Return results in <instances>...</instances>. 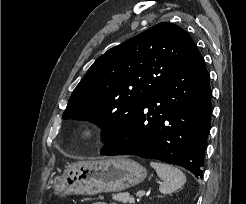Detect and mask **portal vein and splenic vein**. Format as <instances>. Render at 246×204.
I'll list each match as a JSON object with an SVG mask.
<instances>
[{"mask_svg":"<svg viewBox=\"0 0 246 204\" xmlns=\"http://www.w3.org/2000/svg\"><path fill=\"white\" fill-rule=\"evenodd\" d=\"M143 195H145V191H139V192H137V194H136V196H138V197H141V196H143Z\"/></svg>","mask_w":246,"mask_h":204,"instance_id":"portal-vein-and-splenic-vein-1","label":"portal vein and splenic vein"}]
</instances>
